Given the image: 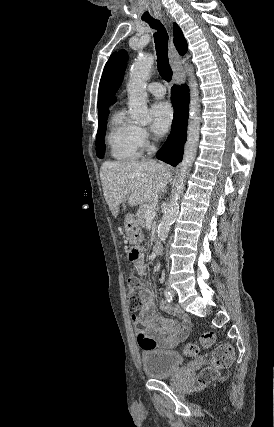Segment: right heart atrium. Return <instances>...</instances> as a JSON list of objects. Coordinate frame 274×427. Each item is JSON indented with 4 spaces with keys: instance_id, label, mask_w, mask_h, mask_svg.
Returning a JSON list of instances; mask_svg holds the SVG:
<instances>
[{
    "instance_id": "d8ad5b80",
    "label": "right heart atrium",
    "mask_w": 274,
    "mask_h": 427,
    "mask_svg": "<svg viewBox=\"0 0 274 427\" xmlns=\"http://www.w3.org/2000/svg\"><path fill=\"white\" fill-rule=\"evenodd\" d=\"M138 135H139V140H140L141 145L144 148H149V146H150V140H149L150 136H149L148 131L146 129H144V128H139Z\"/></svg>"
}]
</instances>
